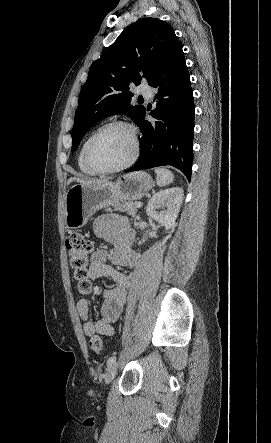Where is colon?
<instances>
[{
  "label": "colon",
  "mask_w": 271,
  "mask_h": 443,
  "mask_svg": "<svg viewBox=\"0 0 271 443\" xmlns=\"http://www.w3.org/2000/svg\"><path fill=\"white\" fill-rule=\"evenodd\" d=\"M70 266L73 269L74 278L81 293L86 294L91 290V281L88 262L93 251V243L81 234H72L66 240ZM90 348L97 354L104 353L102 339L93 335L89 342Z\"/></svg>",
  "instance_id": "obj_1"
}]
</instances>
